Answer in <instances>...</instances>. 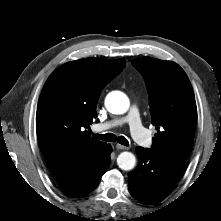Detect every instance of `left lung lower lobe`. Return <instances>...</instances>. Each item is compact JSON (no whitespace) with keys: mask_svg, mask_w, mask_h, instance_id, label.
Segmentation results:
<instances>
[{"mask_svg":"<svg viewBox=\"0 0 221 221\" xmlns=\"http://www.w3.org/2000/svg\"><path fill=\"white\" fill-rule=\"evenodd\" d=\"M138 166L128 174L131 195L146 204L162 201L177 184L183 166L150 149L136 147Z\"/></svg>","mask_w":221,"mask_h":221,"instance_id":"obj_1","label":"left lung lower lobe"}]
</instances>
